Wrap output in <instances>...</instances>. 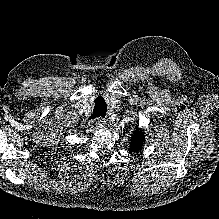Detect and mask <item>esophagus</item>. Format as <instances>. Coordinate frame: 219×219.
Returning <instances> with one entry per match:
<instances>
[{"mask_svg":"<svg viewBox=\"0 0 219 219\" xmlns=\"http://www.w3.org/2000/svg\"><path fill=\"white\" fill-rule=\"evenodd\" d=\"M104 125H105V120L102 117H99L94 121V127L96 128H102Z\"/></svg>","mask_w":219,"mask_h":219,"instance_id":"1","label":"esophagus"}]
</instances>
